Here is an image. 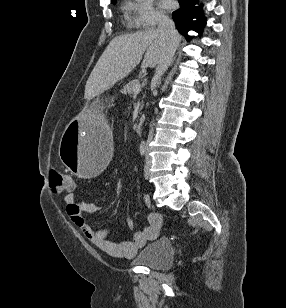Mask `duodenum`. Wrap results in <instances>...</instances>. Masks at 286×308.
<instances>
[{
	"label": "duodenum",
	"instance_id": "1",
	"mask_svg": "<svg viewBox=\"0 0 286 308\" xmlns=\"http://www.w3.org/2000/svg\"><path fill=\"white\" fill-rule=\"evenodd\" d=\"M143 128H144V123L142 121H139L136 124L135 130L137 133L141 134L143 132Z\"/></svg>",
	"mask_w": 286,
	"mask_h": 308
}]
</instances>
